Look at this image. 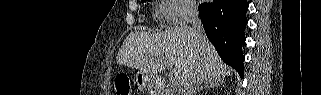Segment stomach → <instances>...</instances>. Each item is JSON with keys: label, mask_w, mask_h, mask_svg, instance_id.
I'll return each instance as SVG.
<instances>
[{"label": "stomach", "mask_w": 321, "mask_h": 95, "mask_svg": "<svg viewBox=\"0 0 321 95\" xmlns=\"http://www.w3.org/2000/svg\"><path fill=\"white\" fill-rule=\"evenodd\" d=\"M136 84L137 86L144 91L152 90V81L151 78L144 72H138L136 74Z\"/></svg>", "instance_id": "1"}]
</instances>
